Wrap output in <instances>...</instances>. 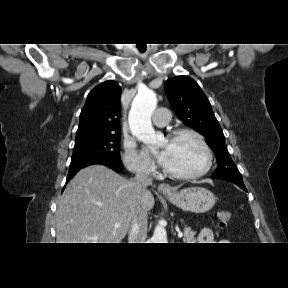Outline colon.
Here are the masks:
<instances>
[{
  "label": "colon",
  "mask_w": 288,
  "mask_h": 288,
  "mask_svg": "<svg viewBox=\"0 0 288 288\" xmlns=\"http://www.w3.org/2000/svg\"><path fill=\"white\" fill-rule=\"evenodd\" d=\"M220 227H226L231 221L232 215L229 211H219L216 214Z\"/></svg>",
  "instance_id": "5ec220e1"
}]
</instances>
